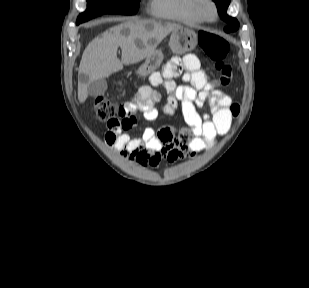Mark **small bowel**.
I'll return each mask as SVG.
<instances>
[{
  "label": "small bowel",
  "mask_w": 309,
  "mask_h": 288,
  "mask_svg": "<svg viewBox=\"0 0 309 288\" xmlns=\"http://www.w3.org/2000/svg\"><path fill=\"white\" fill-rule=\"evenodd\" d=\"M181 74L185 83L177 85L174 78ZM159 86L168 95L161 108L162 114L173 116L180 106L189 128H180L177 136L168 128H146L140 137H132L125 132L132 125L109 122L105 134L108 147L144 167L156 168L163 157L174 164L184 156L194 157L207 151L219 136L228 133L232 122V99L214 88L194 54L171 59L163 73L154 75L150 85L141 86L132 100L124 104L125 107L131 113L140 112L147 121L156 120L160 115L156 107L161 99ZM205 105L210 114L203 119L196 107Z\"/></svg>",
  "instance_id": "obj_1"
}]
</instances>
